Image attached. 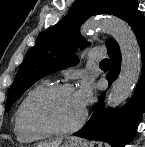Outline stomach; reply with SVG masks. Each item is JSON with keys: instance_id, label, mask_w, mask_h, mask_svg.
I'll list each match as a JSON object with an SVG mask.
<instances>
[{"instance_id": "stomach-1", "label": "stomach", "mask_w": 145, "mask_h": 147, "mask_svg": "<svg viewBox=\"0 0 145 147\" xmlns=\"http://www.w3.org/2000/svg\"><path fill=\"white\" fill-rule=\"evenodd\" d=\"M61 147H82L79 142L74 141V140H67L64 142V144Z\"/></svg>"}]
</instances>
